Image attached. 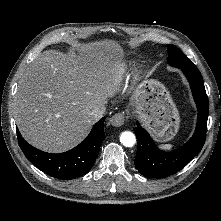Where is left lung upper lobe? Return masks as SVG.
Listing matches in <instances>:
<instances>
[{
  "label": "left lung upper lobe",
  "mask_w": 221,
  "mask_h": 221,
  "mask_svg": "<svg viewBox=\"0 0 221 221\" xmlns=\"http://www.w3.org/2000/svg\"><path fill=\"white\" fill-rule=\"evenodd\" d=\"M168 48V63L174 67H191L193 62L179 49L172 44L167 45Z\"/></svg>",
  "instance_id": "1"
}]
</instances>
